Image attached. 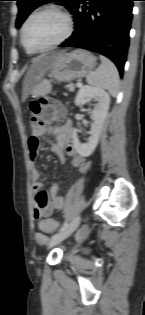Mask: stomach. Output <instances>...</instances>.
<instances>
[{
  "label": "stomach",
  "instance_id": "obj_1",
  "mask_svg": "<svg viewBox=\"0 0 145 315\" xmlns=\"http://www.w3.org/2000/svg\"><path fill=\"white\" fill-rule=\"evenodd\" d=\"M96 57L88 51L77 49L63 53L50 67L49 75L59 82H69L91 74L96 66Z\"/></svg>",
  "mask_w": 145,
  "mask_h": 315
}]
</instances>
